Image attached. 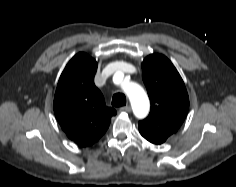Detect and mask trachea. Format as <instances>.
<instances>
[{
  "label": "trachea",
  "instance_id": "1",
  "mask_svg": "<svg viewBox=\"0 0 236 187\" xmlns=\"http://www.w3.org/2000/svg\"><path fill=\"white\" fill-rule=\"evenodd\" d=\"M126 105V97L123 93H116L112 98V106L121 107Z\"/></svg>",
  "mask_w": 236,
  "mask_h": 187
}]
</instances>
